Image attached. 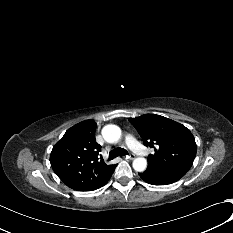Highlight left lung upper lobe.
<instances>
[{"instance_id": "left-lung-upper-lobe-1", "label": "left lung upper lobe", "mask_w": 233, "mask_h": 233, "mask_svg": "<svg viewBox=\"0 0 233 233\" xmlns=\"http://www.w3.org/2000/svg\"><path fill=\"white\" fill-rule=\"evenodd\" d=\"M144 145L154 149L148 168L178 181L191 168L196 156L194 136L184 125L166 117L145 114L129 118Z\"/></svg>"}]
</instances>
